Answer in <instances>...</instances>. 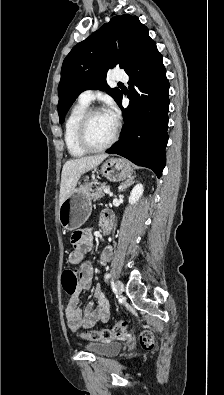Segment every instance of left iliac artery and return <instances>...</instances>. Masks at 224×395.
<instances>
[{"mask_svg":"<svg viewBox=\"0 0 224 395\" xmlns=\"http://www.w3.org/2000/svg\"><path fill=\"white\" fill-rule=\"evenodd\" d=\"M111 277V275L110 274H107L106 276H105V279H109Z\"/></svg>","mask_w":224,"mask_h":395,"instance_id":"1","label":"left iliac artery"}]
</instances>
